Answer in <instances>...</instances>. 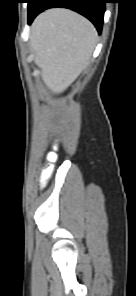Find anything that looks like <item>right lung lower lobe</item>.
I'll return each mask as SVG.
<instances>
[{"label": "right lung lower lobe", "mask_w": 136, "mask_h": 296, "mask_svg": "<svg viewBox=\"0 0 136 296\" xmlns=\"http://www.w3.org/2000/svg\"><path fill=\"white\" fill-rule=\"evenodd\" d=\"M106 0H35L28 8V23L43 10L53 7L72 9L88 18L101 33Z\"/></svg>", "instance_id": "obj_1"}]
</instances>
